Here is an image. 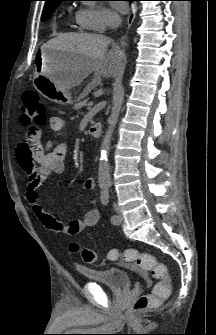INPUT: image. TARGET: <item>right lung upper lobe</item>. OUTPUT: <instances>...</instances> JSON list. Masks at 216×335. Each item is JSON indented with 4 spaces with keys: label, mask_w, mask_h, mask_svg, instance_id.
Wrapping results in <instances>:
<instances>
[{
    "label": "right lung upper lobe",
    "mask_w": 216,
    "mask_h": 335,
    "mask_svg": "<svg viewBox=\"0 0 216 335\" xmlns=\"http://www.w3.org/2000/svg\"><path fill=\"white\" fill-rule=\"evenodd\" d=\"M45 1H46L45 6H47V5H53V4L61 3L64 0H45Z\"/></svg>",
    "instance_id": "obj_1"
}]
</instances>
